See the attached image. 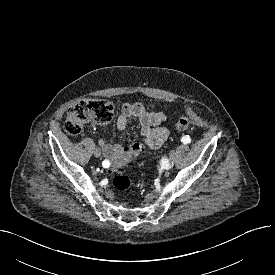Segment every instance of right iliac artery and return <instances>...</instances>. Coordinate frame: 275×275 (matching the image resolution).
I'll use <instances>...</instances> for the list:
<instances>
[{"mask_svg": "<svg viewBox=\"0 0 275 275\" xmlns=\"http://www.w3.org/2000/svg\"><path fill=\"white\" fill-rule=\"evenodd\" d=\"M102 165H103V167H109L110 166V162L108 161V160H104L103 162H102Z\"/></svg>", "mask_w": 275, "mask_h": 275, "instance_id": "82829eb1", "label": "right iliac artery"}]
</instances>
